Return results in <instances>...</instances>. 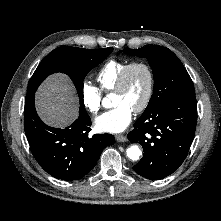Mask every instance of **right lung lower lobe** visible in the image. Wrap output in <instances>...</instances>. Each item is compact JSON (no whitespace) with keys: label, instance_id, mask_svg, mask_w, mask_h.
I'll list each match as a JSON object with an SVG mask.
<instances>
[{"label":"right lung lower lobe","instance_id":"1","mask_svg":"<svg viewBox=\"0 0 221 221\" xmlns=\"http://www.w3.org/2000/svg\"><path fill=\"white\" fill-rule=\"evenodd\" d=\"M34 94L27 93L24 108V129L33 156L57 179L83 178L94 168L103 149L115 142L114 136L106 133L90 137L91 119L82 106L72 125L64 129L47 126L37 115Z\"/></svg>","mask_w":221,"mask_h":221}]
</instances>
